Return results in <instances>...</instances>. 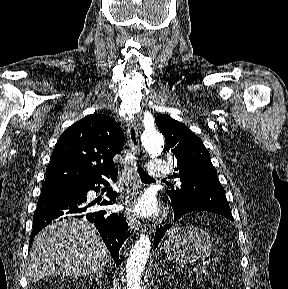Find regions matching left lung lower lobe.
Listing matches in <instances>:
<instances>
[{
	"label": "left lung lower lobe",
	"mask_w": 288,
	"mask_h": 289,
	"mask_svg": "<svg viewBox=\"0 0 288 289\" xmlns=\"http://www.w3.org/2000/svg\"><path fill=\"white\" fill-rule=\"evenodd\" d=\"M172 208L174 210L175 220H177L179 217H181L182 215H184V214H186L188 212L198 211V210H193V209H183V208H180L177 205H172ZM170 227H171V225H166L164 227L158 228V230L156 231V236H155V241H154V247L155 248L158 246V244H159L160 240L162 239V237L164 236L165 232Z\"/></svg>",
	"instance_id": "0a47b994"
}]
</instances>
